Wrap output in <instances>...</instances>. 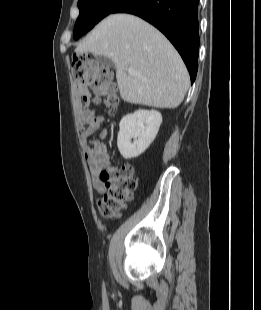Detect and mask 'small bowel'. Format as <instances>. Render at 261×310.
I'll return each mask as SVG.
<instances>
[{"label": "small bowel", "instance_id": "obj_1", "mask_svg": "<svg viewBox=\"0 0 261 310\" xmlns=\"http://www.w3.org/2000/svg\"><path fill=\"white\" fill-rule=\"evenodd\" d=\"M76 97L80 105L78 106L77 122L80 128V134L83 139V149L88 163L93 188L102 193L106 190L100 175L110 165L108 148L104 142L90 137L99 129L102 124L103 117L95 115L92 111L84 108L82 105H88L91 98L89 89L77 84L75 86ZM107 136V130L100 133V137L104 139Z\"/></svg>", "mask_w": 261, "mask_h": 310}]
</instances>
